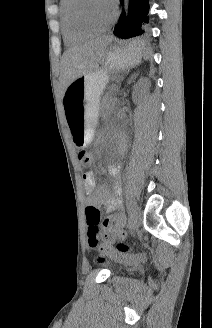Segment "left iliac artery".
<instances>
[{
    "label": "left iliac artery",
    "mask_w": 212,
    "mask_h": 328,
    "mask_svg": "<svg viewBox=\"0 0 212 328\" xmlns=\"http://www.w3.org/2000/svg\"><path fill=\"white\" fill-rule=\"evenodd\" d=\"M132 209H133V207H132V205L130 204L129 207H128V212L131 213V212H132Z\"/></svg>",
    "instance_id": "left-iliac-artery-1"
}]
</instances>
